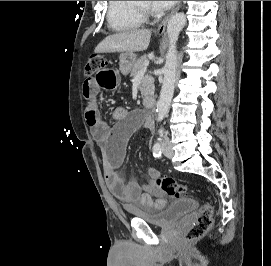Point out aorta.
<instances>
[{
    "label": "aorta",
    "mask_w": 271,
    "mask_h": 266,
    "mask_svg": "<svg viewBox=\"0 0 271 266\" xmlns=\"http://www.w3.org/2000/svg\"><path fill=\"white\" fill-rule=\"evenodd\" d=\"M186 22L187 20L184 13H176L170 18L167 24L169 47L166 54V62L163 67V84L159 100L156 104L157 122H161L170 109L177 74L176 44L179 34L184 28ZM159 133H162V130H159Z\"/></svg>",
    "instance_id": "obj_1"
}]
</instances>
